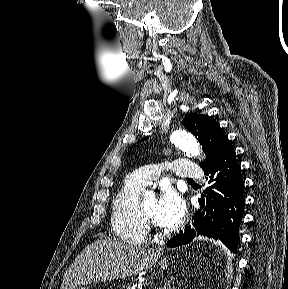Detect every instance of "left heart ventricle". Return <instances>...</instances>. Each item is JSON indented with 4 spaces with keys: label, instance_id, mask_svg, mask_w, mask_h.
I'll list each match as a JSON object with an SVG mask.
<instances>
[{
    "label": "left heart ventricle",
    "instance_id": "left-heart-ventricle-1",
    "mask_svg": "<svg viewBox=\"0 0 288 289\" xmlns=\"http://www.w3.org/2000/svg\"><path fill=\"white\" fill-rule=\"evenodd\" d=\"M141 206L145 215L148 218H150L153 222H156L155 214H156V208H157V201L155 199H149L143 202Z\"/></svg>",
    "mask_w": 288,
    "mask_h": 289
}]
</instances>
